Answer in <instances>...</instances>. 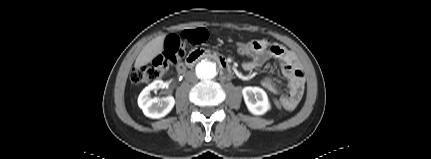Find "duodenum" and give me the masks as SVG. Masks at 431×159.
Listing matches in <instances>:
<instances>
[{
	"mask_svg": "<svg viewBox=\"0 0 431 159\" xmlns=\"http://www.w3.org/2000/svg\"><path fill=\"white\" fill-rule=\"evenodd\" d=\"M203 59H209L214 61L218 65L223 78L229 79L232 76V71L229 63L220 54L214 51L201 49H197L190 52L186 59V66H183V69L178 71L182 73L186 70V67L190 68L194 66L198 61Z\"/></svg>",
	"mask_w": 431,
	"mask_h": 159,
	"instance_id": "duodenum-1",
	"label": "duodenum"
}]
</instances>
